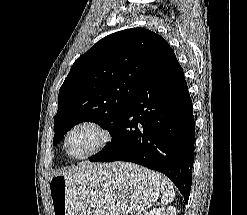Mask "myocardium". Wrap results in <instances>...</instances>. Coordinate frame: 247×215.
I'll return each mask as SVG.
<instances>
[{"instance_id":"obj_1","label":"myocardium","mask_w":247,"mask_h":215,"mask_svg":"<svg viewBox=\"0 0 247 215\" xmlns=\"http://www.w3.org/2000/svg\"><path fill=\"white\" fill-rule=\"evenodd\" d=\"M88 127L93 129L98 134V141L95 146L86 154L81 156H74L69 152L68 140L70 136L79 128ZM111 141L110 131L99 121L93 119H82L74 123L66 132L63 140V147L66 154L74 160H85L100 153Z\"/></svg>"}]
</instances>
